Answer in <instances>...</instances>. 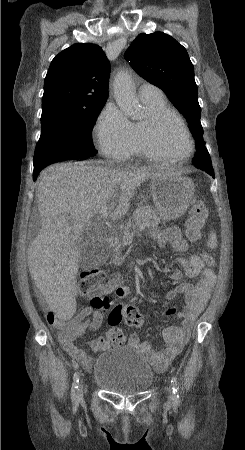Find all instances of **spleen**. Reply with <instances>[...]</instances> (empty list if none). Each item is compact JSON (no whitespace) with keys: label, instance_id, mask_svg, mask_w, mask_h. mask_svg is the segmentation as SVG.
<instances>
[{"label":"spleen","instance_id":"3e777b00","mask_svg":"<svg viewBox=\"0 0 245 450\" xmlns=\"http://www.w3.org/2000/svg\"><path fill=\"white\" fill-rule=\"evenodd\" d=\"M216 245H217L216 234L211 232L209 240H208V246L213 249L216 247Z\"/></svg>","mask_w":245,"mask_h":450}]
</instances>
